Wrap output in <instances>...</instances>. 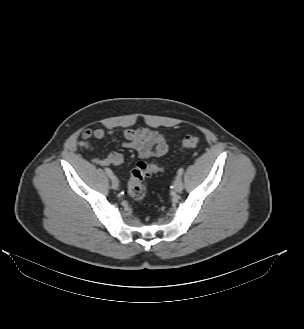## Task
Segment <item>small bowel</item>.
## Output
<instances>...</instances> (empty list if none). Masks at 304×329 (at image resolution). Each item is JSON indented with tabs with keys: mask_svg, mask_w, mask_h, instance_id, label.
Masks as SVG:
<instances>
[{
	"mask_svg": "<svg viewBox=\"0 0 304 329\" xmlns=\"http://www.w3.org/2000/svg\"><path fill=\"white\" fill-rule=\"evenodd\" d=\"M114 132V130H105L102 128L95 130L87 128L82 133V140L79 146L85 150H92V139H103ZM119 133L124 138L123 145L136 151L140 158L163 157L169 150L168 140L158 131L139 128L122 129ZM93 162L101 166H118L122 164L123 156L118 152H110L103 158H94Z\"/></svg>",
	"mask_w": 304,
	"mask_h": 329,
	"instance_id": "small-bowel-1",
	"label": "small bowel"
}]
</instances>
